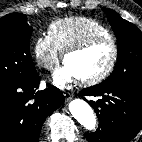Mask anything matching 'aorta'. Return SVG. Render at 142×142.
<instances>
[{"instance_id":"1","label":"aorta","mask_w":142,"mask_h":142,"mask_svg":"<svg viewBox=\"0 0 142 142\" xmlns=\"http://www.w3.org/2000/svg\"><path fill=\"white\" fill-rule=\"evenodd\" d=\"M72 116L86 129L96 128V116L90 105L82 99H74L68 105Z\"/></svg>"}]
</instances>
